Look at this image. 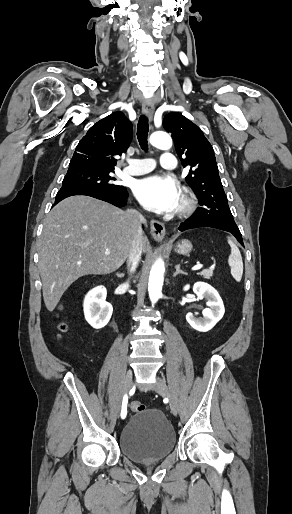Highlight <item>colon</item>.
Instances as JSON below:
<instances>
[{"instance_id":"5ec220e1","label":"colon","mask_w":292,"mask_h":514,"mask_svg":"<svg viewBox=\"0 0 292 514\" xmlns=\"http://www.w3.org/2000/svg\"><path fill=\"white\" fill-rule=\"evenodd\" d=\"M55 328L57 330L56 336L60 338L62 336V333L65 331V326L61 321H59L55 325ZM129 407L135 413H142L145 411V406L137 400L130 401Z\"/></svg>"}]
</instances>
